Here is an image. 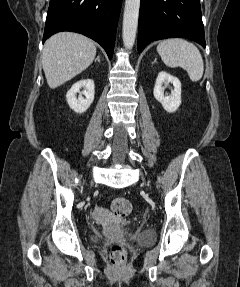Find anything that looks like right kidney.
Instances as JSON below:
<instances>
[{"instance_id": "obj_1", "label": "right kidney", "mask_w": 240, "mask_h": 287, "mask_svg": "<svg viewBox=\"0 0 240 287\" xmlns=\"http://www.w3.org/2000/svg\"><path fill=\"white\" fill-rule=\"evenodd\" d=\"M83 88L81 92L85 98L80 95L78 98L76 94L80 92V89ZM95 94V85L92 79H83L77 81L67 92L66 99L69 107L76 113H84L88 110L90 105L94 101Z\"/></svg>"}]
</instances>
